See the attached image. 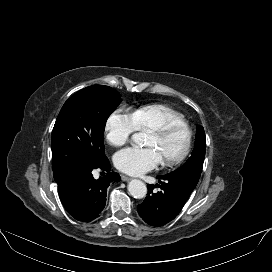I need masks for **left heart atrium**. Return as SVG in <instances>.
<instances>
[{
  "instance_id": "39dd6f15",
  "label": "left heart atrium",
  "mask_w": 272,
  "mask_h": 272,
  "mask_svg": "<svg viewBox=\"0 0 272 272\" xmlns=\"http://www.w3.org/2000/svg\"><path fill=\"white\" fill-rule=\"evenodd\" d=\"M161 160L159 152L152 147H129L121 150L114 157L115 166L131 175H140L152 170Z\"/></svg>"
}]
</instances>
